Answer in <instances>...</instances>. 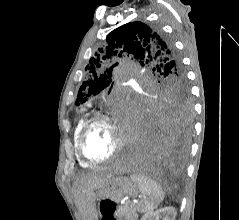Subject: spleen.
Masks as SVG:
<instances>
[{
    "mask_svg": "<svg viewBox=\"0 0 239 220\" xmlns=\"http://www.w3.org/2000/svg\"><path fill=\"white\" fill-rule=\"evenodd\" d=\"M130 179L135 182L143 198L137 205L139 212H149L157 208L164 199L162 187L153 179L141 174H131Z\"/></svg>",
    "mask_w": 239,
    "mask_h": 220,
    "instance_id": "3e777b00",
    "label": "spleen"
}]
</instances>
